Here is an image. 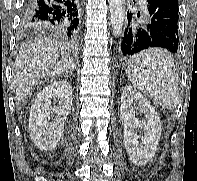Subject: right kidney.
Segmentation results:
<instances>
[{
  "label": "right kidney",
  "instance_id": "1",
  "mask_svg": "<svg viewBox=\"0 0 197 181\" xmlns=\"http://www.w3.org/2000/svg\"><path fill=\"white\" fill-rule=\"evenodd\" d=\"M73 90L64 80L43 88L30 110L29 133L34 144L43 150H52L59 143L64 122L71 111ZM53 100V101H52ZM56 113L50 122V115Z\"/></svg>",
  "mask_w": 197,
  "mask_h": 181
}]
</instances>
